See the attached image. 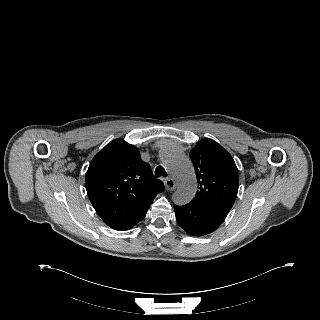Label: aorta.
Here are the masks:
<instances>
[{"label": "aorta", "instance_id": "762f6f07", "mask_svg": "<svg viewBox=\"0 0 320 320\" xmlns=\"http://www.w3.org/2000/svg\"><path fill=\"white\" fill-rule=\"evenodd\" d=\"M162 162L178 182L173 202L177 205L189 203L196 193V177L191 161L177 150L166 149L162 153Z\"/></svg>", "mask_w": 320, "mask_h": 320}]
</instances>
